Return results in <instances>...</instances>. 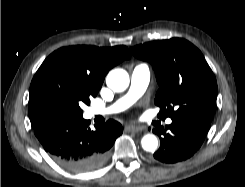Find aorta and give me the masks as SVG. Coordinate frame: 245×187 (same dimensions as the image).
I'll return each mask as SVG.
<instances>
[{
	"mask_svg": "<svg viewBox=\"0 0 245 187\" xmlns=\"http://www.w3.org/2000/svg\"><path fill=\"white\" fill-rule=\"evenodd\" d=\"M107 86L114 92H122L129 86V75L123 69H114L106 77ZM142 148L148 152H154L158 146L155 135L147 134L141 140Z\"/></svg>",
	"mask_w": 245,
	"mask_h": 187,
	"instance_id": "1",
	"label": "aorta"
}]
</instances>
